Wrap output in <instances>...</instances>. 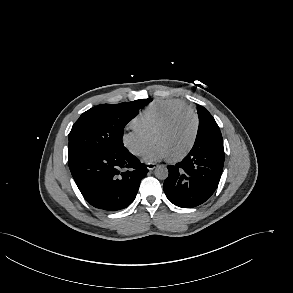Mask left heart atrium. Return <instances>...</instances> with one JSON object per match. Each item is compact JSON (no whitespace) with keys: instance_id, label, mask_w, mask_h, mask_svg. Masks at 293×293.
Instances as JSON below:
<instances>
[{"instance_id":"1","label":"left heart atrium","mask_w":293,"mask_h":293,"mask_svg":"<svg viewBox=\"0 0 293 293\" xmlns=\"http://www.w3.org/2000/svg\"><path fill=\"white\" fill-rule=\"evenodd\" d=\"M168 157V152L159 143H153L143 155V159L146 162H154Z\"/></svg>"}]
</instances>
